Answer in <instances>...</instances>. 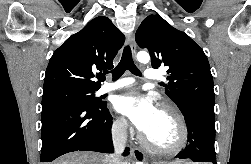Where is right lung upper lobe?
I'll return each instance as SVG.
<instances>
[{"instance_id": "cb5924a9", "label": "right lung upper lobe", "mask_w": 251, "mask_h": 164, "mask_svg": "<svg viewBox=\"0 0 251 164\" xmlns=\"http://www.w3.org/2000/svg\"><path fill=\"white\" fill-rule=\"evenodd\" d=\"M124 40V35L109 18L92 19L53 53L46 69L43 91L60 87L98 90L101 71L113 68L112 61Z\"/></svg>"}]
</instances>
